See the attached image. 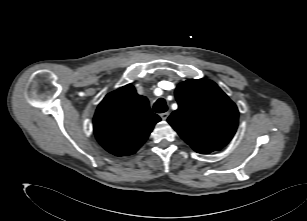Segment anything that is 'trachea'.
I'll list each match as a JSON object with an SVG mask.
<instances>
[{"label": "trachea", "mask_w": 307, "mask_h": 221, "mask_svg": "<svg viewBox=\"0 0 307 221\" xmlns=\"http://www.w3.org/2000/svg\"><path fill=\"white\" fill-rule=\"evenodd\" d=\"M153 109L156 113H164L167 111V104L163 98H159L153 106Z\"/></svg>", "instance_id": "3493384b"}]
</instances>
